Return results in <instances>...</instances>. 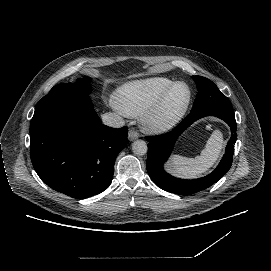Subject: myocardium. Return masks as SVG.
Returning a JSON list of instances; mask_svg holds the SVG:
<instances>
[{"label":"myocardium","mask_w":271,"mask_h":271,"mask_svg":"<svg viewBox=\"0 0 271 271\" xmlns=\"http://www.w3.org/2000/svg\"><path fill=\"white\" fill-rule=\"evenodd\" d=\"M184 84L189 88V97L185 104L175 113L164 117L162 114L167 106L169 98L178 86ZM194 98V91L192 86L183 80L175 81L171 86L165 91L161 98L148 110L145 112L143 117V125L145 128L152 132H163L174 127L187 113Z\"/></svg>","instance_id":"1"}]
</instances>
